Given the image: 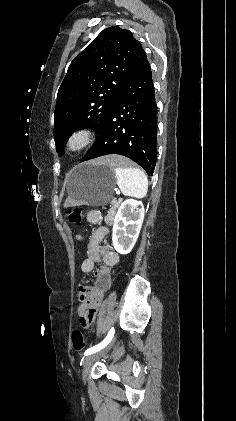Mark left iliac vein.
<instances>
[{"mask_svg":"<svg viewBox=\"0 0 236 421\" xmlns=\"http://www.w3.org/2000/svg\"><path fill=\"white\" fill-rule=\"evenodd\" d=\"M113 342H109V344L102 350H99L96 353H92L90 355H88L87 357L84 358V364H83V370H82V376L83 379L86 380L87 376H88V370L90 365L99 357L103 356L104 354H106L112 347Z\"/></svg>","mask_w":236,"mask_h":421,"instance_id":"obj_1","label":"left iliac vein"}]
</instances>
